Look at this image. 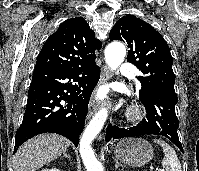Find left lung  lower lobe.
<instances>
[{
    "instance_id": "obj_1",
    "label": "left lung lower lobe",
    "mask_w": 199,
    "mask_h": 171,
    "mask_svg": "<svg viewBox=\"0 0 199 171\" xmlns=\"http://www.w3.org/2000/svg\"><path fill=\"white\" fill-rule=\"evenodd\" d=\"M139 98L145 106L146 119H143L137 126L128 129L110 124L106 131L105 140L141 135L165 136L183 152L177 133L179 122L175 113L178 99L154 91H140Z\"/></svg>"
}]
</instances>
